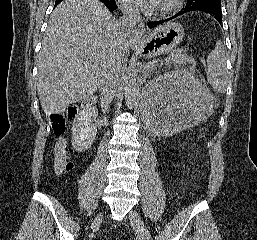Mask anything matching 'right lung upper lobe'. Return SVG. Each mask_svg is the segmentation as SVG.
Returning a JSON list of instances; mask_svg holds the SVG:
<instances>
[{"mask_svg": "<svg viewBox=\"0 0 257 240\" xmlns=\"http://www.w3.org/2000/svg\"><path fill=\"white\" fill-rule=\"evenodd\" d=\"M63 0H56L55 4L58 5Z\"/></svg>", "mask_w": 257, "mask_h": 240, "instance_id": "obj_1", "label": "right lung upper lobe"}]
</instances>
